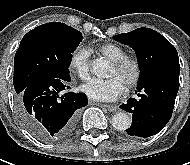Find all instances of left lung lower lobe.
<instances>
[{"mask_svg":"<svg viewBox=\"0 0 190 165\" xmlns=\"http://www.w3.org/2000/svg\"><path fill=\"white\" fill-rule=\"evenodd\" d=\"M180 67L159 69L138 82V100L130 98L121 109L132 113L131 136L150 137L157 134L172 116L179 89Z\"/></svg>","mask_w":190,"mask_h":165,"instance_id":"left-lung-lower-lobe-1","label":"left lung lower lobe"}]
</instances>
